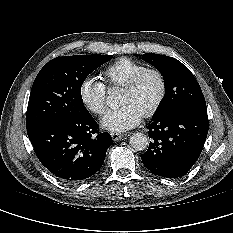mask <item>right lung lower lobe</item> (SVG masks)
<instances>
[{
  "mask_svg": "<svg viewBox=\"0 0 233 233\" xmlns=\"http://www.w3.org/2000/svg\"><path fill=\"white\" fill-rule=\"evenodd\" d=\"M89 112L68 120L44 123L27 129L36 156L53 175L76 183L94 175L112 144L109 133H99Z\"/></svg>",
  "mask_w": 233,
  "mask_h": 233,
  "instance_id": "obj_1",
  "label": "right lung lower lobe"
}]
</instances>
